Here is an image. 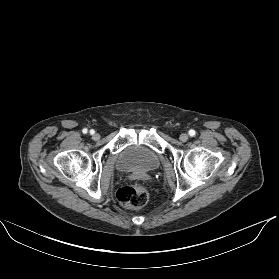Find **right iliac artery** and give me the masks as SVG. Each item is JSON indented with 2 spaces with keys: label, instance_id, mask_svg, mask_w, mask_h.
Returning <instances> with one entry per match:
<instances>
[{
  "label": "right iliac artery",
  "instance_id": "right-iliac-artery-1",
  "mask_svg": "<svg viewBox=\"0 0 279 279\" xmlns=\"http://www.w3.org/2000/svg\"><path fill=\"white\" fill-rule=\"evenodd\" d=\"M82 132H83L84 134H86V133L88 132V130H87L86 128H84V129L82 130ZM90 133L93 134L94 131H93V130H90Z\"/></svg>",
  "mask_w": 279,
  "mask_h": 279
}]
</instances>
